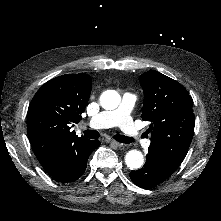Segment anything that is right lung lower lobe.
<instances>
[{"mask_svg":"<svg viewBox=\"0 0 221 221\" xmlns=\"http://www.w3.org/2000/svg\"><path fill=\"white\" fill-rule=\"evenodd\" d=\"M100 146L98 140H87L68 151L47 173L58 182L76 181L84 173L90 154Z\"/></svg>","mask_w":221,"mask_h":221,"instance_id":"obj_1","label":"right lung lower lobe"}]
</instances>
